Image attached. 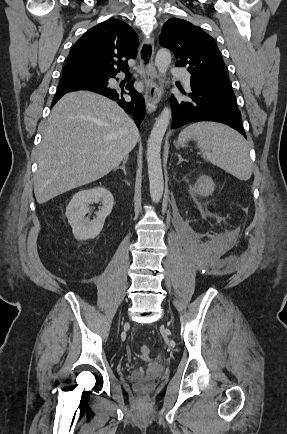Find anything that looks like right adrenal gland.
I'll list each match as a JSON object with an SVG mask.
<instances>
[{"label":"right adrenal gland","instance_id":"right-adrenal-gland-1","mask_svg":"<svg viewBox=\"0 0 287 434\" xmlns=\"http://www.w3.org/2000/svg\"><path fill=\"white\" fill-rule=\"evenodd\" d=\"M128 158H129V157L127 156V157L123 160V164H122V166L116 168V170H117V169H122L125 175H126L125 165H126V163H127V161H128Z\"/></svg>","mask_w":287,"mask_h":434}]
</instances>
